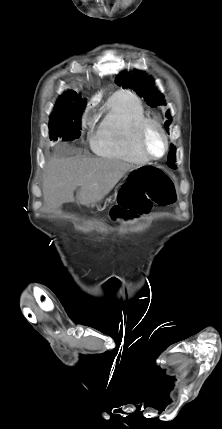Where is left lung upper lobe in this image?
<instances>
[{
	"label": "left lung upper lobe",
	"mask_w": 222,
	"mask_h": 429,
	"mask_svg": "<svg viewBox=\"0 0 222 429\" xmlns=\"http://www.w3.org/2000/svg\"><path fill=\"white\" fill-rule=\"evenodd\" d=\"M116 83L122 85L123 87H131L136 93L143 97L148 105L155 108L159 105H165V100L162 94L154 87L153 79L144 72H139L133 70V72L124 71L116 76ZM166 117L171 118L170 113L166 112ZM170 120H167L164 124L167 132L169 131L168 127L170 125ZM167 165L170 168L175 169V147L170 146V151L168 153V162Z\"/></svg>",
	"instance_id": "obj_1"
}]
</instances>
